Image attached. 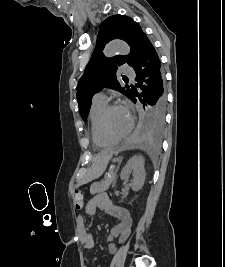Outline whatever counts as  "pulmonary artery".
<instances>
[{
	"instance_id": "e3ab8cb5",
	"label": "pulmonary artery",
	"mask_w": 225,
	"mask_h": 267,
	"mask_svg": "<svg viewBox=\"0 0 225 267\" xmlns=\"http://www.w3.org/2000/svg\"><path fill=\"white\" fill-rule=\"evenodd\" d=\"M122 73L126 76L131 77V78H133L135 76L134 70L127 65H124L122 67ZM105 99H106V96L103 92H98L94 95V100L105 101Z\"/></svg>"
}]
</instances>
